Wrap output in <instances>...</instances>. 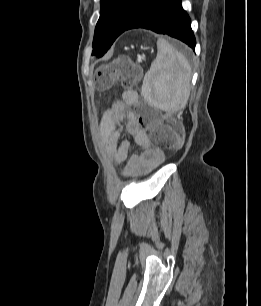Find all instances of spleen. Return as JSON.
Masks as SVG:
<instances>
[{"label": "spleen", "instance_id": "obj_1", "mask_svg": "<svg viewBox=\"0 0 261 306\" xmlns=\"http://www.w3.org/2000/svg\"><path fill=\"white\" fill-rule=\"evenodd\" d=\"M157 49V56L144 76L141 94L161 110H181L190 96V63L162 38L157 41Z\"/></svg>", "mask_w": 261, "mask_h": 306}]
</instances>
